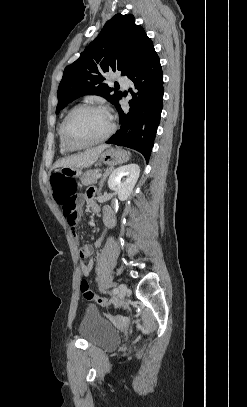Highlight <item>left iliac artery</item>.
Instances as JSON below:
<instances>
[{
  "label": "left iliac artery",
  "instance_id": "44dca946",
  "mask_svg": "<svg viewBox=\"0 0 247 407\" xmlns=\"http://www.w3.org/2000/svg\"><path fill=\"white\" fill-rule=\"evenodd\" d=\"M115 292H117V289L115 288V289H113V293H115Z\"/></svg>",
  "mask_w": 247,
  "mask_h": 407
}]
</instances>
